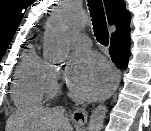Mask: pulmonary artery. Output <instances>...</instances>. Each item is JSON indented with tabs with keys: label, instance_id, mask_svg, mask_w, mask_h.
Here are the masks:
<instances>
[{
	"label": "pulmonary artery",
	"instance_id": "pulmonary-artery-1",
	"mask_svg": "<svg viewBox=\"0 0 151 131\" xmlns=\"http://www.w3.org/2000/svg\"><path fill=\"white\" fill-rule=\"evenodd\" d=\"M75 44L81 48H88L91 45L89 38L86 36L79 37Z\"/></svg>",
	"mask_w": 151,
	"mask_h": 131
}]
</instances>
